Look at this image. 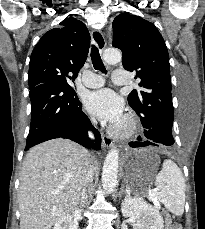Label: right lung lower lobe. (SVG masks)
Listing matches in <instances>:
<instances>
[{
    "instance_id": "1",
    "label": "right lung lower lobe",
    "mask_w": 205,
    "mask_h": 229,
    "mask_svg": "<svg viewBox=\"0 0 205 229\" xmlns=\"http://www.w3.org/2000/svg\"><path fill=\"white\" fill-rule=\"evenodd\" d=\"M31 125L26 148L53 138H68L86 148H100L101 135L92 126L72 87L46 82L30 89ZM92 130L95 142L87 137Z\"/></svg>"
}]
</instances>
